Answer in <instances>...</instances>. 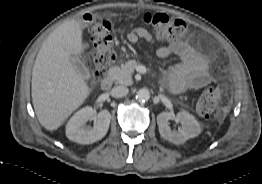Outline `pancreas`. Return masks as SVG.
<instances>
[{
	"mask_svg": "<svg viewBox=\"0 0 262 184\" xmlns=\"http://www.w3.org/2000/svg\"><path fill=\"white\" fill-rule=\"evenodd\" d=\"M137 65L136 60H128L121 66H114L110 69L111 78L121 85H131L133 83L132 74Z\"/></svg>",
	"mask_w": 262,
	"mask_h": 184,
	"instance_id": "pancreas-1",
	"label": "pancreas"
}]
</instances>
